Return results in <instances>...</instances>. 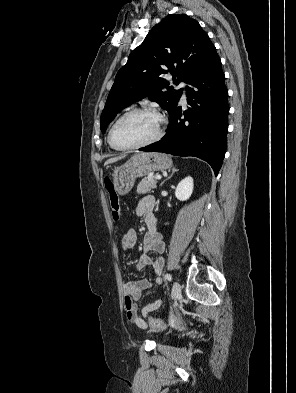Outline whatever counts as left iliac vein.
<instances>
[{"label": "left iliac vein", "instance_id": "left-iliac-vein-1", "mask_svg": "<svg viewBox=\"0 0 296 393\" xmlns=\"http://www.w3.org/2000/svg\"><path fill=\"white\" fill-rule=\"evenodd\" d=\"M180 296H181V286L177 281H175L173 283L171 297H172V299H177Z\"/></svg>", "mask_w": 296, "mask_h": 393}]
</instances>
